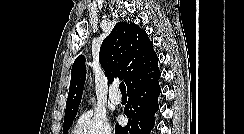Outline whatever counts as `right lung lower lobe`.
<instances>
[{"instance_id": "1", "label": "right lung lower lobe", "mask_w": 244, "mask_h": 134, "mask_svg": "<svg viewBox=\"0 0 244 134\" xmlns=\"http://www.w3.org/2000/svg\"><path fill=\"white\" fill-rule=\"evenodd\" d=\"M160 74L128 90V103L124 114L129 119L125 127L115 125V134H150L158 111Z\"/></svg>"}]
</instances>
